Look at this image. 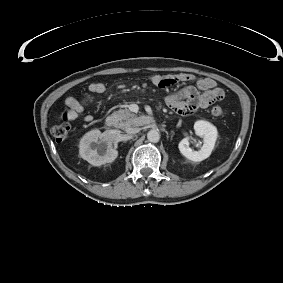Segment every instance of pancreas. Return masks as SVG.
I'll use <instances>...</instances> for the list:
<instances>
[{
	"label": "pancreas",
	"mask_w": 283,
	"mask_h": 283,
	"mask_svg": "<svg viewBox=\"0 0 283 283\" xmlns=\"http://www.w3.org/2000/svg\"><path fill=\"white\" fill-rule=\"evenodd\" d=\"M115 119V126L121 129L129 126H139L141 124L140 117L131 113L128 109H119L112 114Z\"/></svg>",
	"instance_id": "1"
}]
</instances>
